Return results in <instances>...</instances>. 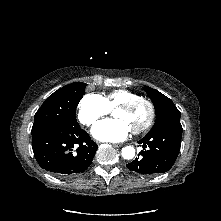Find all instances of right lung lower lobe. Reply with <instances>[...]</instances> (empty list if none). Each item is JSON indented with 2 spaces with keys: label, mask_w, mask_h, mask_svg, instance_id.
<instances>
[{
  "label": "right lung lower lobe",
  "mask_w": 221,
  "mask_h": 221,
  "mask_svg": "<svg viewBox=\"0 0 221 221\" xmlns=\"http://www.w3.org/2000/svg\"><path fill=\"white\" fill-rule=\"evenodd\" d=\"M97 147L80 126L51 125L32 135V148L38 164L62 177L84 172Z\"/></svg>",
  "instance_id": "obj_1"
}]
</instances>
